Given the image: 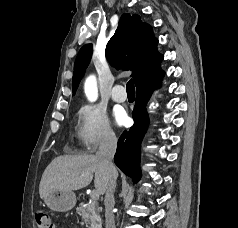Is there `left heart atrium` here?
<instances>
[{"mask_svg": "<svg viewBox=\"0 0 238 228\" xmlns=\"http://www.w3.org/2000/svg\"><path fill=\"white\" fill-rule=\"evenodd\" d=\"M115 120L119 125H125L128 122V117L125 112L117 111L114 114Z\"/></svg>", "mask_w": 238, "mask_h": 228, "instance_id": "1", "label": "left heart atrium"}]
</instances>
